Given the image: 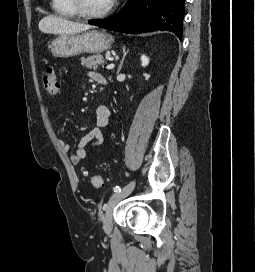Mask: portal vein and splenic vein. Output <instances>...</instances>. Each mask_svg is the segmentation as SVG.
<instances>
[{
  "mask_svg": "<svg viewBox=\"0 0 255 272\" xmlns=\"http://www.w3.org/2000/svg\"><path fill=\"white\" fill-rule=\"evenodd\" d=\"M114 64L113 63H111V64H108L107 66H106V69H113L114 68Z\"/></svg>",
  "mask_w": 255,
  "mask_h": 272,
  "instance_id": "obj_1",
  "label": "portal vein and splenic vein"
}]
</instances>
